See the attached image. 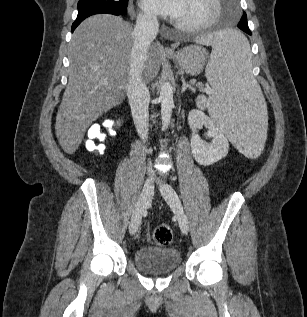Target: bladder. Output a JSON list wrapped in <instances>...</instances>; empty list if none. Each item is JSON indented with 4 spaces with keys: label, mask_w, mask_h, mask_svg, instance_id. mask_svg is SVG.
<instances>
[{
    "label": "bladder",
    "mask_w": 307,
    "mask_h": 317,
    "mask_svg": "<svg viewBox=\"0 0 307 317\" xmlns=\"http://www.w3.org/2000/svg\"><path fill=\"white\" fill-rule=\"evenodd\" d=\"M135 265L148 275H162L172 272L181 263V255L174 248L145 246L134 253Z\"/></svg>",
    "instance_id": "obj_1"
}]
</instances>
